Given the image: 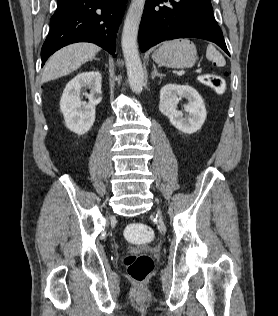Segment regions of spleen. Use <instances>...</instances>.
<instances>
[{
  "label": "spleen",
  "instance_id": "spleen-1",
  "mask_svg": "<svg viewBox=\"0 0 278 316\" xmlns=\"http://www.w3.org/2000/svg\"><path fill=\"white\" fill-rule=\"evenodd\" d=\"M206 57L209 61L216 63L217 66H224L226 63L224 57L212 45H208Z\"/></svg>",
  "mask_w": 278,
  "mask_h": 316
}]
</instances>
